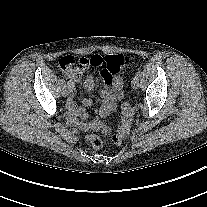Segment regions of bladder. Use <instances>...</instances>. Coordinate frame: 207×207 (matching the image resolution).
Returning <instances> with one entry per match:
<instances>
[{
	"label": "bladder",
	"mask_w": 207,
	"mask_h": 207,
	"mask_svg": "<svg viewBox=\"0 0 207 207\" xmlns=\"http://www.w3.org/2000/svg\"><path fill=\"white\" fill-rule=\"evenodd\" d=\"M91 86H92V80L90 78L86 79L84 82V87L86 89H89V88H91Z\"/></svg>",
	"instance_id": "1"
}]
</instances>
